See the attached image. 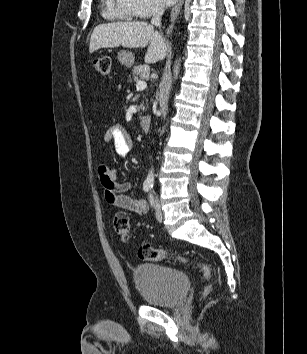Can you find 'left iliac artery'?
I'll use <instances>...</instances> for the list:
<instances>
[{"instance_id":"1","label":"left iliac artery","mask_w":307,"mask_h":354,"mask_svg":"<svg viewBox=\"0 0 307 354\" xmlns=\"http://www.w3.org/2000/svg\"><path fill=\"white\" fill-rule=\"evenodd\" d=\"M149 200H150V204L153 206L154 199H153V195L152 194L149 195Z\"/></svg>"}]
</instances>
